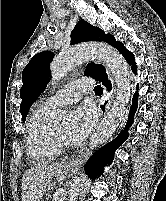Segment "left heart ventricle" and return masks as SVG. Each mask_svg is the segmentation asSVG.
<instances>
[{"label":"left heart ventricle","mask_w":166,"mask_h":201,"mask_svg":"<svg viewBox=\"0 0 166 201\" xmlns=\"http://www.w3.org/2000/svg\"><path fill=\"white\" fill-rule=\"evenodd\" d=\"M55 127L58 130V132L68 141V136H67L68 122H61L59 124H56Z\"/></svg>","instance_id":"obj_1"}]
</instances>
